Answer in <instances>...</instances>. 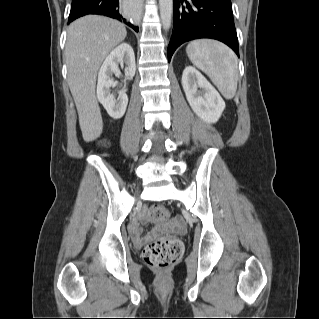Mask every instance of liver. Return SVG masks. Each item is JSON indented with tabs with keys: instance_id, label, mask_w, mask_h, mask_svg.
<instances>
[{
	"instance_id": "liver-1",
	"label": "liver",
	"mask_w": 319,
	"mask_h": 319,
	"mask_svg": "<svg viewBox=\"0 0 319 319\" xmlns=\"http://www.w3.org/2000/svg\"><path fill=\"white\" fill-rule=\"evenodd\" d=\"M126 35L124 24L99 15L84 16L68 27L65 46L68 85L86 142L96 140L103 130L95 94L98 70L105 57Z\"/></svg>"
}]
</instances>
